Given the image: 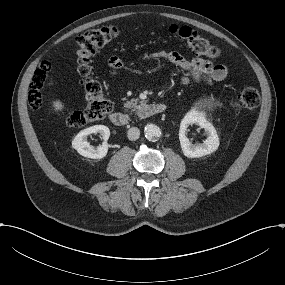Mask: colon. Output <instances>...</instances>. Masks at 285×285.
I'll return each instance as SVG.
<instances>
[{
  "mask_svg": "<svg viewBox=\"0 0 285 285\" xmlns=\"http://www.w3.org/2000/svg\"><path fill=\"white\" fill-rule=\"evenodd\" d=\"M170 32L183 40L197 55L211 60L220 57L221 51L207 39L198 35L188 26H170ZM119 34L115 26H104L86 31L76 40L75 59L77 71L82 77L86 94V105L82 110L72 112L66 119V124L78 128L87 123L103 119L111 110L112 103L105 97L102 85L92 78L90 59L100 49L109 44ZM50 71L49 63L42 64L33 75L28 96L29 106L37 110L42 106V90L47 84ZM260 103L259 92L253 87L244 88L238 96L231 100L230 106L236 110H253Z\"/></svg>",
  "mask_w": 285,
  "mask_h": 285,
  "instance_id": "5ec220e1",
  "label": "colon"
}]
</instances>
